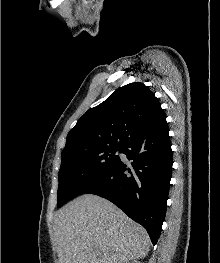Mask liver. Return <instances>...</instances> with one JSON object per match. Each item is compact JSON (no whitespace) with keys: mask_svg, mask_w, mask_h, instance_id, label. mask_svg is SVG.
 <instances>
[{"mask_svg":"<svg viewBox=\"0 0 220 263\" xmlns=\"http://www.w3.org/2000/svg\"><path fill=\"white\" fill-rule=\"evenodd\" d=\"M58 263H128L150 250L147 231L108 200L80 196L54 216Z\"/></svg>","mask_w":220,"mask_h":263,"instance_id":"liver-1","label":"liver"}]
</instances>
